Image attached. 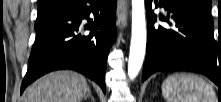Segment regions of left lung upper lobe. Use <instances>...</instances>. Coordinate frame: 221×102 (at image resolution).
I'll return each instance as SVG.
<instances>
[{
  "label": "left lung upper lobe",
  "mask_w": 221,
  "mask_h": 102,
  "mask_svg": "<svg viewBox=\"0 0 221 102\" xmlns=\"http://www.w3.org/2000/svg\"><path fill=\"white\" fill-rule=\"evenodd\" d=\"M192 4L197 5L201 10L205 11L210 15L211 11V0H188Z\"/></svg>",
  "instance_id": "1"
}]
</instances>
